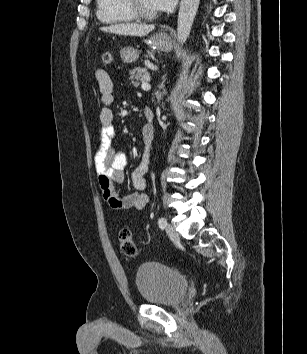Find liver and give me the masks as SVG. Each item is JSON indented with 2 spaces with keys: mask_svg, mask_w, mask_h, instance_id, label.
<instances>
[{
  "mask_svg": "<svg viewBox=\"0 0 307 354\" xmlns=\"http://www.w3.org/2000/svg\"><path fill=\"white\" fill-rule=\"evenodd\" d=\"M154 29V25L136 24V23H121L101 27L100 30L117 35L125 36H145Z\"/></svg>",
  "mask_w": 307,
  "mask_h": 354,
  "instance_id": "liver-1",
  "label": "liver"
}]
</instances>
